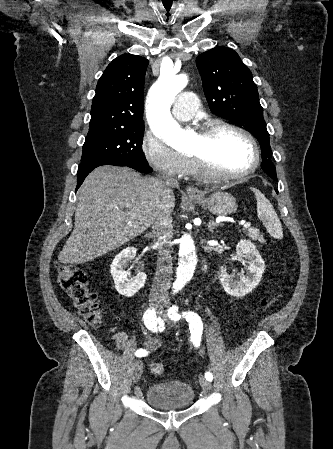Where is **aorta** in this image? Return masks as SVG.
I'll list each match as a JSON object with an SVG mask.
<instances>
[{"instance_id":"aorta-1","label":"aorta","mask_w":333,"mask_h":449,"mask_svg":"<svg viewBox=\"0 0 333 449\" xmlns=\"http://www.w3.org/2000/svg\"><path fill=\"white\" fill-rule=\"evenodd\" d=\"M187 83L185 74H176L173 68L161 67L160 77L151 87L147 98V121L155 135L177 151L189 147V138L172 118L170 108L175 96ZM179 259L174 288L181 290L193 277L197 255L195 242L190 233L182 231L177 237Z\"/></svg>"}]
</instances>
